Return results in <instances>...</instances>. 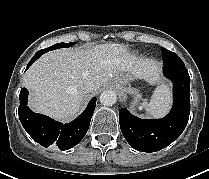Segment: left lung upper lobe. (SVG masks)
Here are the masks:
<instances>
[{
    "instance_id": "left-lung-upper-lobe-1",
    "label": "left lung upper lobe",
    "mask_w": 209,
    "mask_h": 179,
    "mask_svg": "<svg viewBox=\"0 0 209 179\" xmlns=\"http://www.w3.org/2000/svg\"><path fill=\"white\" fill-rule=\"evenodd\" d=\"M163 52V63L165 66H173L183 63L177 54L171 52L165 48H162Z\"/></svg>"
}]
</instances>
